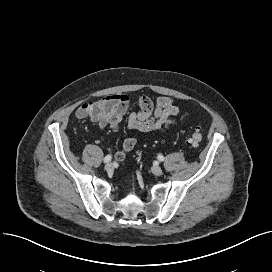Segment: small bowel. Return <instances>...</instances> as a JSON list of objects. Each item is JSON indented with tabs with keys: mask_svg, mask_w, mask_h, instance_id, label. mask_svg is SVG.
Instances as JSON below:
<instances>
[{
	"mask_svg": "<svg viewBox=\"0 0 272 272\" xmlns=\"http://www.w3.org/2000/svg\"><path fill=\"white\" fill-rule=\"evenodd\" d=\"M138 111L130 112V98L127 95H110L98 101L83 104L76 111L79 119L89 118L98 122L101 127L111 125L117 128L122 119L127 116V128L138 132H163L173 125L181 124L186 117L175 100L169 96H160L153 100L142 96L137 101ZM105 121V123H102ZM137 139L127 137L120 150L114 153L118 161L124 160L126 155L134 149Z\"/></svg>",
	"mask_w": 272,
	"mask_h": 272,
	"instance_id": "small-bowel-1",
	"label": "small bowel"
}]
</instances>
